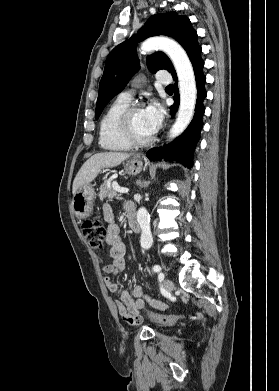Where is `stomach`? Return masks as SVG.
<instances>
[{"mask_svg": "<svg viewBox=\"0 0 279 391\" xmlns=\"http://www.w3.org/2000/svg\"><path fill=\"white\" fill-rule=\"evenodd\" d=\"M142 169L143 162L139 157H133L124 163V170L129 175H137ZM94 199L95 192L91 184H87L78 189L72 199V208L75 216L79 219L89 217L93 210Z\"/></svg>", "mask_w": 279, "mask_h": 391, "instance_id": "1", "label": "stomach"}]
</instances>
